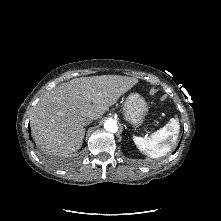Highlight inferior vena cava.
<instances>
[{
  "label": "inferior vena cava",
  "instance_id": "inferior-vena-cava-1",
  "mask_svg": "<svg viewBox=\"0 0 221 221\" xmlns=\"http://www.w3.org/2000/svg\"><path fill=\"white\" fill-rule=\"evenodd\" d=\"M92 121H93L92 116L84 117L82 119V125H88V124L92 123Z\"/></svg>",
  "mask_w": 221,
  "mask_h": 221
}]
</instances>
